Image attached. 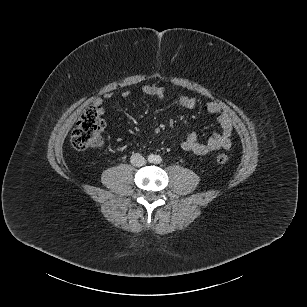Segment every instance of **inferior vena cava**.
Returning a JSON list of instances; mask_svg holds the SVG:
<instances>
[{
    "mask_svg": "<svg viewBox=\"0 0 307 307\" xmlns=\"http://www.w3.org/2000/svg\"><path fill=\"white\" fill-rule=\"evenodd\" d=\"M130 162L133 166L135 167H140V166H143L145 165L146 163V160L145 158L143 157L142 154H139V153H135L131 156L130 158Z\"/></svg>",
    "mask_w": 307,
    "mask_h": 307,
    "instance_id": "obj_1",
    "label": "inferior vena cava"
}]
</instances>
